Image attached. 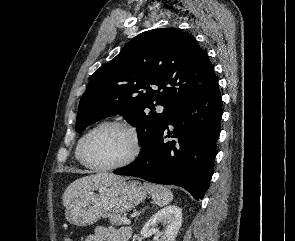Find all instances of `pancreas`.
I'll return each mask as SVG.
<instances>
[{
    "mask_svg": "<svg viewBox=\"0 0 295 241\" xmlns=\"http://www.w3.org/2000/svg\"><path fill=\"white\" fill-rule=\"evenodd\" d=\"M106 217L110 220L113 225L121 226L124 224L125 216H121L118 213H107Z\"/></svg>",
    "mask_w": 295,
    "mask_h": 241,
    "instance_id": "1",
    "label": "pancreas"
}]
</instances>
